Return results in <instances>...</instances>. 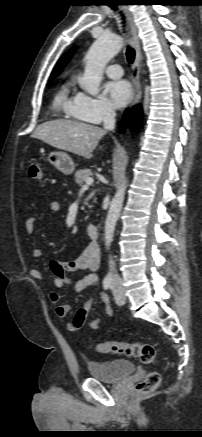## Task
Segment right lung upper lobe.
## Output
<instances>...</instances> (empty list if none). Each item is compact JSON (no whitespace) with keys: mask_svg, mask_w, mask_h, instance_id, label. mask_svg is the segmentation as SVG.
Instances as JSON below:
<instances>
[{"mask_svg":"<svg viewBox=\"0 0 202 437\" xmlns=\"http://www.w3.org/2000/svg\"><path fill=\"white\" fill-rule=\"evenodd\" d=\"M76 50V47L72 48L71 50H69L68 52H66L57 62L52 74H51V79L55 78L56 76H58L61 71L63 70V68L65 67V65L69 62V60L71 59V57L73 56L74 52Z\"/></svg>","mask_w":202,"mask_h":437,"instance_id":"cb5924a9","label":"right lung upper lobe"}]
</instances>
